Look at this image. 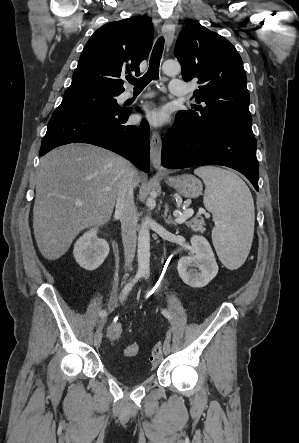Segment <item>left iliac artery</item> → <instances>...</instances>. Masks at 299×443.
Segmentation results:
<instances>
[{"mask_svg": "<svg viewBox=\"0 0 299 443\" xmlns=\"http://www.w3.org/2000/svg\"><path fill=\"white\" fill-rule=\"evenodd\" d=\"M145 277L148 278V277H149V274L146 273ZM161 312H162V314H163L166 318H168V319L171 318V315H170L169 311H167L166 309H162ZM167 339H170V332L167 333Z\"/></svg>", "mask_w": 299, "mask_h": 443, "instance_id": "left-iliac-artery-1", "label": "left iliac artery"}]
</instances>
